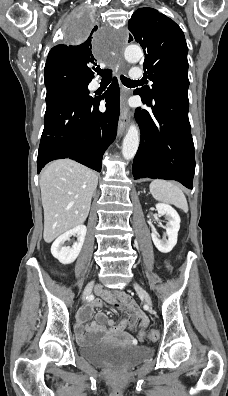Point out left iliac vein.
Segmentation results:
<instances>
[{"label": "left iliac vein", "mask_w": 228, "mask_h": 396, "mask_svg": "<svg viewBox=\"0 0 228 396\" xmlns=\"http://www.w3.org/2000/svg\"><path fill=\"white\" fill-rule=\"evenodd\" d=\"M134 288L138 295L142 297L149 306H152V300L148 292L137 283H134Z\"/></svg>", "instance_id": "4c4485c4"}]
</instances>
